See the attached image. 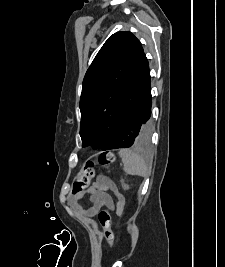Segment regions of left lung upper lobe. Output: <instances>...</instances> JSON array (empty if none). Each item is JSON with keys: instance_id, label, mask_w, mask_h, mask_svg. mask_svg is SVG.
I'll use <instances>...</instances> for the list:
<instances>
[{"instance_id": "1", "label": "left lung upper lobe", "mask_w": 225, "mask_h": 267, "mask_svg": "<svg viewBox=\"0 0 225 267\" xmlns=\"http://www.w3.org/2000/svg\"><path fill=\"white\" fill-rule=\"evenodd\" d=\"M143 54L140 41L131 32H117L104 43L88 68L80 98L82 147L103 149L111 140L121 106L135 68ZM151 121L147 124L151 128ZM145 125L134 143L141 146Z\"/></svg>"}]
</instances>
